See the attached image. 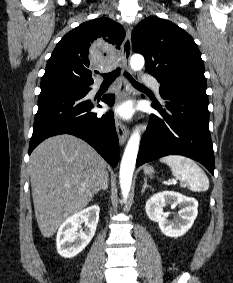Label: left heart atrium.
<instances>
[{
    "instance_id": "1",
    "label": "left heart atrium",
    "mask_w": 233,
    "mask_h": 283,
    "mask_svg": "<svg viewBox=\"0 0 233 283\" xmlns=\"http://www.w3.org/2000/svg\"><path fill=\"white\" fill-rule=\"evenodd\" d=\"M115 114L123 119H128L132 115V107L129 103L119 104L114 107Z\"/></svg>"
}]
</instances>
